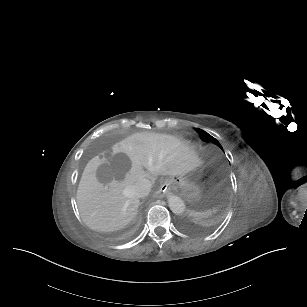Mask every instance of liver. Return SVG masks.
Returning a JSON list of instances; mask_svg holds the SVG:
<instances>
[{
	"label": "liver",
	"mask_w": 307,
	"mask_h": 307,
	"mask_svg": "<svg viewBox=\"0 0 307 307\" xmlns=\"http://www.w3.org/2000/svg\"><path fill=\"white\" fill-rule=\"evenodd\" d=\"M200 165L194 152L174 136L133 134L88 162L77 190L81 217L91 229L118 230L139 207L132 189L138 180L186 175Z\"/></svg>",
	"instance_id": "obj_1"
}]
</instances>
